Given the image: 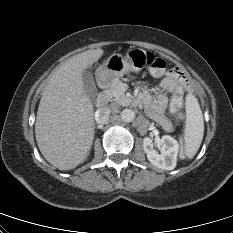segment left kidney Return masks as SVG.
<instances>
[{
    "label": "left kidney",
    "instance_id": "5707ae66",
    "mask_svg": "<svg viewBox=\"0 0 233 233\" xmlns=\"http://www.w3.org/2000/svg\"><path fill=\"white\" fill-rule=\"evenodd\" d=\"M158 145L161 147L159 154L154 149V144L149 137L143 140V149L147 155V159L157 168L164 170H173L176 166L179 151L178 142L171 136H163Z\"/></svg>",
    "mask_w": 233,
    "mask_h": 233
}]
</instances>
